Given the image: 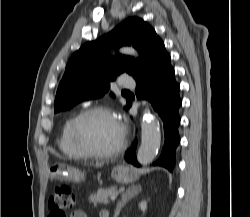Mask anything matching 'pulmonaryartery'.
<instances>
[{
    "label": "pulmonary artery",
    "instance_id": "e3ab8cb5",
    "mask_svg": "<svg viewBox=\"0 0 250 217\" xmlns=\"http://www.w3.org/2000/svg\"><path fill=\"white\" fill-rule=\"evenodd\" d=\"M120 85L124 88H134L135 82L132 79H121Z\"/></svg>",
    "mask_w": 250,
    "mask_h": 217
}]
</instances>
